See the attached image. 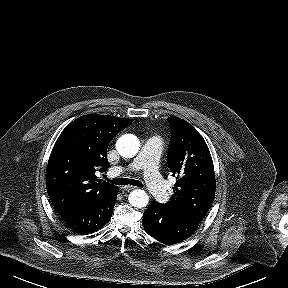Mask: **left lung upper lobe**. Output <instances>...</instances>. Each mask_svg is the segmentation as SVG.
Listing matches in <instances>:
<instances>
[{"mask_svg": "<svg viewBox=\"0 0 288 288\" xmlns=\"http://www.w3.org/2000/svg\"><path fill=\"white\" fill-rule=\"evenodd\" d=\"M171 140L168 166L177 178L174 195L163 204L168 210L200 223L215 197V173L212 157L203 137L188 122L168 118Z\"/></svg>", "mask_w": 288, "mask_h": 288, "instance_id": "obj_1", "label": "left lung upper lobe"}]
</instances>
